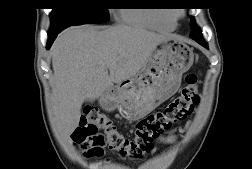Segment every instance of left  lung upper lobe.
<instances>
[{
  "label": "left lung upper lobe",
  "mask_w": 252,
  "mask_h": 169,
  "mask_svg": "<svg viewBox=\"0 0 252 169\" xmlns=\"http://www.w3.org/2000/svg\"><path fill=\"white\" fill-rule=\"evenodd\" d=\"M190 25L192 29L190 36L196 34L197 32H201L199 27L195 24V20L193 18L191 19Z\"/></svg>",
  "instance_id": "1"
}]
</instances>
